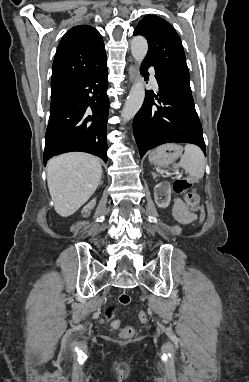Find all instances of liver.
<instances>
[{"label": "liver", "mask_w": 249, "mask_h": 382, "mask_svg": "<svg viewBox=\"0 0 249 382\" xmlns=\"http://www.w3.org/2000/svg\"><path fill=\"white\" fill-rule=\"evenodd\" d=\"M102 167L93 155L71 152L50 159L47 183L55 211L69 217L85 204L98 187Z\"/></svg>", "instance_id": "1"}]
</instances>
